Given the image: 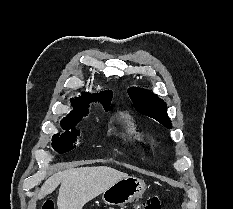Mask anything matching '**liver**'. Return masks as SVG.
Masks as SVG:
<instances>
[{"label":"liver","mask_w":233,"mask_h":209,"mask_svg":"<svg viewBox=\"0 0 233 209\" xmlns=\"http://www.w3.org/2000/svg\"><path fill=\"white\" fill-rule=\"evenodd\" d=\"M128 175L108 166L69 168L49 177L38 198L51 194L59 185L58 209H82L115 182Z\"/></svg>","instance_id":"1"}]
</instances>
